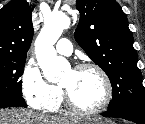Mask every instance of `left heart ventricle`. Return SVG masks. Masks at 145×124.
I'll return each mask as SVG.
<instances>
[{
  "instance_id": "obj_1",
  "label": "left heart ventricle",
  "mask_w": 145,
  "mask_h": 124,
  "mask_svg": "<svg viewBox=\"0 0 145 124\" xmlns=\"http://www.w3.org/2000/svg\"><path fill=\"white\" fill-rule=\"evenodd\" d=\"M59 84L70 93L74 102L82 108L91 109L98 106L105 94V87L100 75L92 70L67 71Z\"/></svg>"
}]
</instances>
